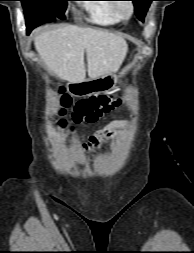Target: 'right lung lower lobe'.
Returning a JSON list of instances; mask_svg holds the SVG:
<instances>
[{"label": "right lung lower lobe", "instance_id": "right-lung-lower-lobe-1", "mask_svg": "<svg viewBox=\"0 0 194 253\" xmlns=\"http://www.w3.org/2000/svg\"><path fill=\"white\" fill-rule=\"evenodd\" d=\"M26 27H27V34H29L33 28L30 26H26Z\"/></svg>", "mask_w": 194, "mask_h": 253}]
</instances>
